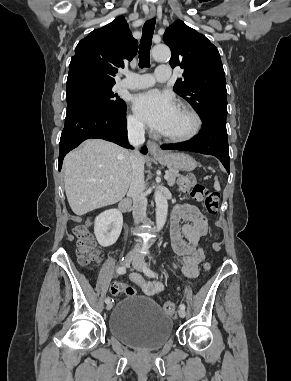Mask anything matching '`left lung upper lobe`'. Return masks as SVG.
<instances>
[{
    "instance_id": "obj_1",
    "label": "left lung upper lobe",
    "mask_w": 291,
    "mask_h": 381,
    "mask_svg": "<svg viewBox=\"0 0 291 381\" xmlns=\"http://www.w3.org/2000/svg\"><path fill=\"white\" fill-rule=\"evenodd\" d=\"M163 40L172 52L171 67L184 70L174 91L193 106L202 122L226 120V80L218 49L181 20L166 29Z\"/></svg>"
}]
</instances>
